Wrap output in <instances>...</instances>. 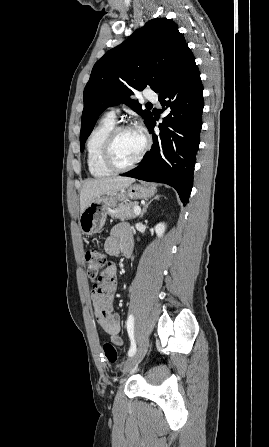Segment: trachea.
I'll return each instance as SVG.
<instances>
[{"mask_svg":"<svg viewBox=\"0 0 269 447\" xmlns=\"http://www.w3.org/2000/svg\"><path fill=\"white\" fill-rule=\"evenodd\" d=\"M146 105H152V104L148 103V104H146Z\"/></svg>","mask_w":269,"mask_h":447,"instance_id":"obj_1","label":"trachea"}]
</instances>
